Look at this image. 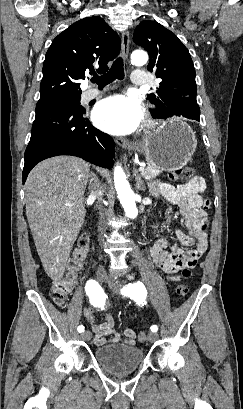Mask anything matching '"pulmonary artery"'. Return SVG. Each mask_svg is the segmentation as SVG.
Masks as SVG:
<instances>
[{
    "label": "pulmonary artery",
    "instance_id": "obj_1",
    "mask_svg": "<svg viewBox=\"0 0 243 409\" xmlns=\"http://www.w3.org/2000/svg\"><path fill=\"white\" fill-rule=\"evenodd\" d=\"M131 81L134 85L143 86L146 85L148 82L146 73L142 70H135L132 73ZM103 91L98 89H89L84 92L83 99L85 101H89L97 96H99Z\"/></svg>",
    "mask_w": 243,
    "mask_h": 409
}]
</instances>
